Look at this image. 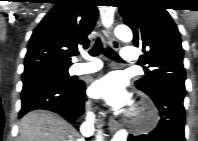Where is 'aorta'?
Instances as JSON below:
<instances>
[{
    "label": "aorta",
    "instance_id": "obj_1",
    "mask_svg": "<svg viewBox=\"0 0 198 141\" xmlns=\"http://www.w3.org/2000/svg\"><path fill=\"white\" fill-rule=\"evenodd\" d=\"M115 35L119 40L125 43L132 40V31L125 25H118L115 28ZM127 135V131L125 129H121L113 136L112 141H127Z\"/></svg>",
    "mask_w": 198,
    "mask_h": 141
}]
</instances>
